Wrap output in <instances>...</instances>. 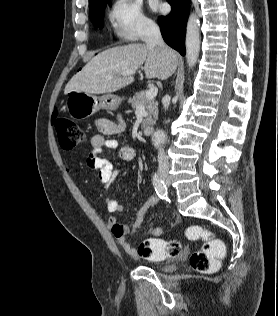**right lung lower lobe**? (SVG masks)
I'll use <instances>...</instances> for the list:
<instances>
[{"instance_id": "98d812e1", "label": "right lung lower lobe", "mask_w": 278, "mask_h": 316, "mask_svg": "<svg viewBox=\"0 0 278 316\" xmlns=\"http://www.w3.org/2000/svg\"><path fill=\"white\" fill-rule=\"evenodd\" d=\"M172 6L171 13L166 17H159L158 23L165 42L185 55L186 22L189 16L190 0H167Z\"/></svg>"}]
</instances>
